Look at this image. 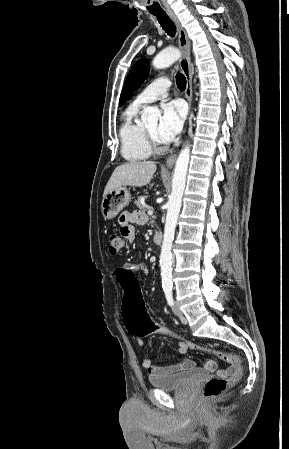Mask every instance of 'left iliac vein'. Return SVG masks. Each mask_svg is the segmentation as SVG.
Listing matches in <instances>:
<instances>
[{
  "instance_id": "1",
  "label": "left iliac vein",
  "mask_w": 289,
  "mask_h": 449,
  "mask_svg": "<svg viewBox=\"0 0 289 449\" xmlns=\"http://www.w3.org/2000/svg\"><path fill=\"white\" fill-rule=\"evenodd\" d=\"M173 312L175 313L176 316H178L180 318V320L183 324H187V319L185 318L183 312L181 311V309L179 308V305L177 303H175L173 306Z\"/></svg>"
}]
</instances>
